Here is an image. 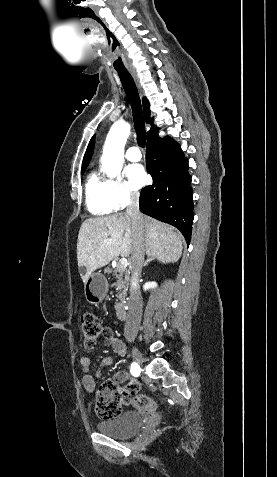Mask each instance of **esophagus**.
I'll return each mask as SVG.
<instances>
[{"mask_svg": "<svg viewBox=\"0 0 277 477\" xmlns=\"http://www.w3.org/2000/svg\"><path fill=\"white\" fill-rule=\"evenodd\" d=\"M130 73H131V75H132V77H133V79H134V81H135V83H136L138 89L141 91V86H140L139 77H138L137 72H136V71H130Z\"/></svg>", "mask_w": 277, "mask_h": 477, "instance_id": "34e87169", "label": "esophagus"}]
</instances>
